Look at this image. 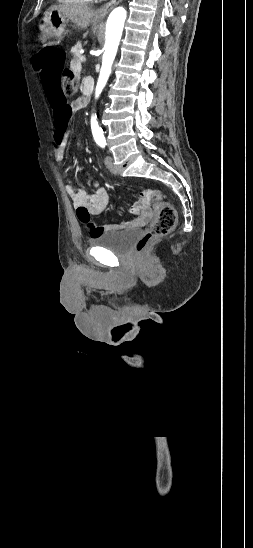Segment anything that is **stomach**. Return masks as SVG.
Instances as JSON below:
<instances>
[{"label": "stomach", "mask_w": 253, "mask_h": 548, "mask_svg": "<svg viewBox=\"0 0 253 548\" xmlns=\"http://www.w3.org/2000/svg\"><path fill=\"white\" fill-rule=\"evenodd\" d=\"M65 28L66 18L57 11L48 9L41 19L38 39L44 45L62 40L67 34Z\"/></svg>", "instance_id": "0dacf381"}]
</instances>
